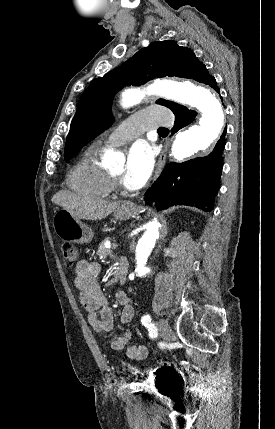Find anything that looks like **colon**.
Instances as JSON below:
<instances>
[{"label": "colon", "instance_id": "1", "mask_svg": "<svg viewBox=\"0 0 275 429\" xmlns=\"http://www.w3.org/2000/svg\"><path fill=\"white\" fill-rule=\"evenodd\" d=\"M64 262L67 266H72L79 257V250L71 243H65L62 247ZM171 367V362L168 359H162L159 361V369H169ZM110 380H114L113 375L110 377Z\"/></svg>", "mask_w": 275, "mask_h": 429}]
</instances>
